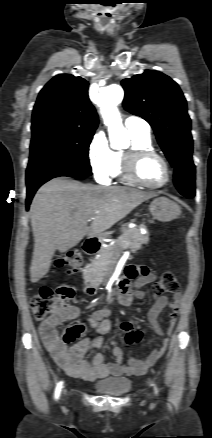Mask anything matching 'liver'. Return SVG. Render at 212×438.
<instances>
[{
  "label": "liver",
  "mask_w": 212,
  "mask_h": 438,
  "mask_svg": "<svg viewBox=\"0 0 212 438\" xmlns=\"http://www.w3.org/2000/svg\"><path fill=\"white\" fill-rule=\"evenodd\" d=\"M156 193L125 187H100L58 177L45 183L30 207L34 249L31 282L49 271L56 250L66 252L85 236L103 234ZM91 217L90 226L88 221Z\"/></svg>",
  "instance_id": "liver-1"
}]
</instances>
